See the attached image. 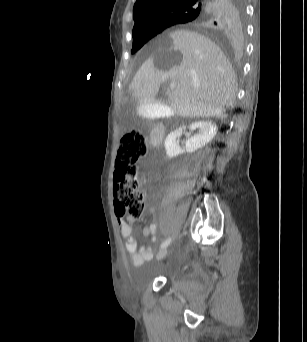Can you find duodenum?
<instances>
[{"instance_id":"duodenum-1","label":"duodenum","mask_w":307,"mask_h":342,"mask_svg":"<svg viewBox=\"0 0 307 342\" xmlns=\"http://www.w3.org/2000/svg\"><path fill=\"white\" fill-rule=\"evenodd\" d=\"M165 137V128L161 124H155L149 135V142L152 149H157L162 144Z\"/></svg>"}]
</instances>
